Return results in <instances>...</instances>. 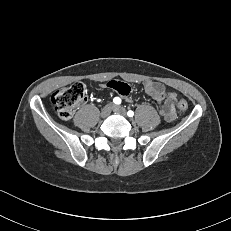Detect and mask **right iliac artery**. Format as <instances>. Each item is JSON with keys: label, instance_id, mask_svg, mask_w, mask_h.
Returning <instances> with one entry per match:
<instances>
[{"label": "right iliac artery", "instance_id": "82829eb1", "mask_svg": "<svg viewBox=\"0 0 231 231\" xmlns=\"http://www.w3.org/2000/svg\"><path fill=\"white\" fill-rule=\"evenodd\" d=\"M113 102H114L115 104H120V103H121V99H120L119 97H115V98L113 99Z\"/></svg>", "mask_w": 231, "mask_h": 231}]
</instances>
